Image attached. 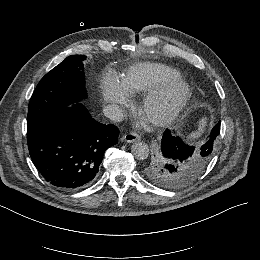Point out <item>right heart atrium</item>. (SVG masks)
I'll use <instances>...</instances> for the list:
<instances>
[{
	"label": "right heart atrium",
	"instance_id": "right-heart-atrium-1",
	"mask_svg": "<svg viewBox=\"0 0 260 260\" xmlns=\"http://www.w3.org/2000/svg\"><path fill=\"white\" fill-rule=\"evenodd\" d=\"M100 92L103 99L108 102L119 98V94L114 86L113 80L110 76H105L100 82ZM128 101V100H126Z\"/></svg>",
	"mask_w": 260,
	"mask_h": 260
}]
</instances>
